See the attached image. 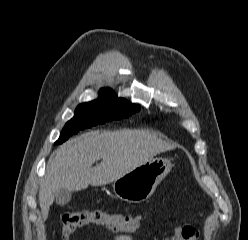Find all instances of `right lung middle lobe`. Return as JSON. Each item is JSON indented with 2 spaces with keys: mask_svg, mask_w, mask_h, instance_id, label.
Listing matches in <instances>:
<instances>
[{
  "mask_svg": "<svg viewBox=\"0 0 248 240\" xmlns=\"http://www.w3.org/2000/svg\"><path fill=\"white\" fill-rule=\"evenodd\" d=\"M138 110L139 105L118 98L113 91L101 92L99 99L77 106L75 116L66 123L55 144H61L81 129L91 128L107 121L127 118Z\"/></svg>",
  "mask_w": 248,
  "mask_h": 240,
  "instance_id": "obj_1",
  "label": "right lung middle lobe"
}]
</instances>
